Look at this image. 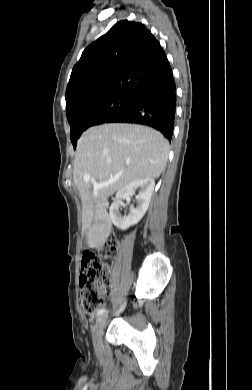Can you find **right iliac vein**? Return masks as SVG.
I'll return each instance as SVG.
<instances>
[{"mask_svg": "<svg viewBox=\"0 0 252 390\" xmlns=\"http://www.w3.org/2000/svg\"><path fill=\"white\" fill-rule=\"evenodd\" d=\"M124 308H125V303L123 304V306H121L119 312L122 311ZM106 320H107V314L100 315L92 328L93 344L96 350H100L102 348L103 345L102 334H103L104 327L106 325Z\"/></svg>", "mask_w": 252, "mask_h": 390, "instance_id": "right-iliac-vein-1", "label": "right iliac vein"}]
</instances>
